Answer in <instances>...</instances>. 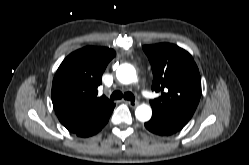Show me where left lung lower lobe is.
<instances>
[{
	"instance_id": "0a47b994",
	"label": "left lung lower lobe",
	"mask_w": 249,
	"mask_h": 165,
	"mask_svg": "<svg viewBox=\"0 0 249 165\" xmlns=\"http://www.w3.org/2000/svg\"><path fill=\"white\" fill-rule=\"evenodd\" d=\"M152 118L145 123V127L152 133L161 136L172 135L180 131L189 121L184 117L163 112L152 107Z\"/></svg>"
}]
</instances>
